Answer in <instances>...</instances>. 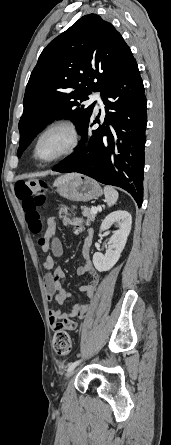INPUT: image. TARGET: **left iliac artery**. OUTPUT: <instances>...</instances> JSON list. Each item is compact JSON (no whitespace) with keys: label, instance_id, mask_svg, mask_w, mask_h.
I'll use <instances>...</instances> for the list:
<instances>
[{"label":"left iliac artery","instance_id":"44dca946","mask_svg":"<svg viewBox=\"0 0 171 445\" xmlns=\"http://www.w3.org/2000/svg\"><path fill=\"white\" fill-rule=\"evenodd\" d=\"M80 362H81V360H77V361H75V362H71V363L68 365L67 372L73 370V369H74Z\"/></svg>","mask_w":171,"mask_h":445}]
</instances>
